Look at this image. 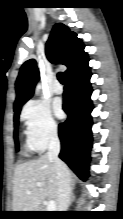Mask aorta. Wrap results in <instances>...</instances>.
<instances>
[{
  "mask_svg": "<svg viewBox=\"0 0 123 219\" xmlns=\"http://www.w3.org/2000/svg\"><path fill=\"white\" fill-rule=\"evenodd\" d=\"M40 89H41V86H40V85H37L35 93L38 94L39 91H40Z\"/></svg>",
  "mask_w": 123,
  "mask_h": 219,
  "instance_id": "aorta-1",
  "label": "aorta"
}]
</instances>
